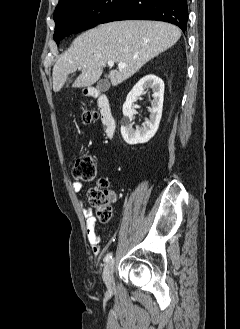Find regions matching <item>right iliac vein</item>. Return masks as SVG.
Returning a JSON list of instances; mask_svg holds the SVG:
<instances>
[{
  "label": "right iliac vein",
  "mask_w": 240,
  "mask_h": 329,
  "mask_svg": "<svg viewBox=\"0 0 240 329\" xmlns=\"http://www.w3.org/2000/svg\"><path fill=\"white\" fill-rule=\"evenodd\" d=\"M113 272H114V261L110 260L109 262L106 263L103 271V280L109 290H112L114 288Z\"/></svg>",
  "instance_id": "63e3f726"
}]
</instances>
